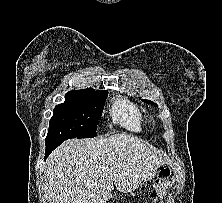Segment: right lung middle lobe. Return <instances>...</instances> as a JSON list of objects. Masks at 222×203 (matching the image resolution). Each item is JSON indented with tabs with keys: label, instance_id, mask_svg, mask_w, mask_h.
<instances>
[{
	"label": "right lung middle lobe",
	"instance_id": "1",
	"mask_svg": "<svg viewBox=\"0 0 222 203\" xmlns=\"http://www.w3.org/2000/svg\"><path fill=\"white\" fill-rule=\"evenodd\" d=\"M107 95L108 92H68L65 102L54 109L45 144L95 137Z\"/></svg>",
	"mask_w": 222,
	"mask_h": 203
}]
</instances>
